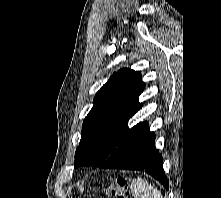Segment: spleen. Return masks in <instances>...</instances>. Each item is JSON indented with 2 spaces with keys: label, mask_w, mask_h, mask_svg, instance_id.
<instances>
[{
  "label": "spleen",
  "mask_w": 221,
  "mask_h": 198,
  "mask_svg": "<svg viewBox=\"0 0 221 198\" xmlns=\"http://www.w3.org/2000/svg\"><path fill=\"white\" fill-rule=\"evenodd\" d=\"M134 198H163L161 193L145 179L137 178L131 183Z\"/></svg>",
  "instance_id": "3e777b00"
}]
</instances>
